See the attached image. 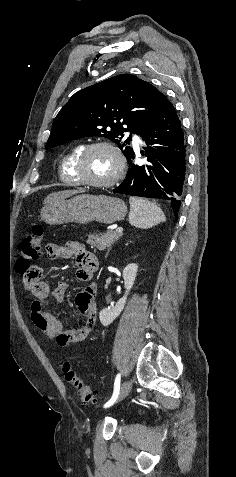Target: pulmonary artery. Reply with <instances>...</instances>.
Segmentation results:
<instances>
[{"mask_svg":"<svg viewBox=\"0 0 236 477\" xmlns=\"http://www.w3.org/2000/svg\"><path fill=\"white\" fill-rule=\"evenodd\" d=\"M138 142H139V138H138V137H135V138H134V143H135V145H138Z\"/></svg>","mask_w":236,"mask_h":477,"instance_id":"e3ab8cb5","label":"pulmonary artery"}]
</instances>
